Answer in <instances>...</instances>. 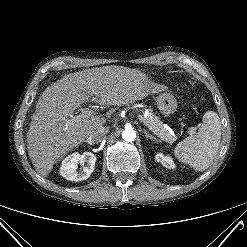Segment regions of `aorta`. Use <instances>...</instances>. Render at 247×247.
Returning a JSON list of instances; mask_svg holds the SVG:
<instances>
[{"mask_svg": "<svg viewBox=\"0 0 247 247\" xmlns=\"http://www.w3.org/2000/svg\"><path fill=\"white\" fill-rule=\"evenodd\" d=\"M122 138L126 142H133L136 139V132L132 128H127L122 132Z\"/></svg>", "mask_w": 247, "mask_h": 247, "instance_id": "1", "label": "aorta"}]
</instances>
